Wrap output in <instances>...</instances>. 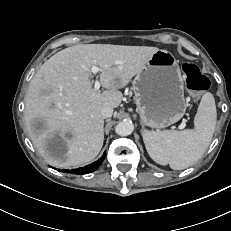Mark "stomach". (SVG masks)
I'll return each mask as SVG.
<instances>
[{"label":"stomach","instance_id":"stomach-1","mask_svg":"<svg viewBox=\"0 0 231 231\" xmlns=\"http://www.w3.org/2000/svg\"><path fill=\"white\" fill-rule=\"evenodd\" d=\"M141 123L165 128L179 121L186 112L182 72L175 56L158 50L135 76L132 87Z\"/></svg>","mask_w":231,"mask_h":231}]
</instances>
